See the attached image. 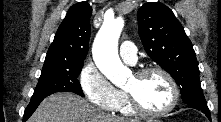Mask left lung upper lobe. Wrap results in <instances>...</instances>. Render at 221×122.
Listing matches in <instances>:
<instances>
[{
    "mask_svg": "<svg viewBox=\"0 0 221 122\" xmlns=\"http://www.w3.org/2000/svg\"><path fill=\"white\" fill-rule=\"evenodd\" d=\"M139 35L152 60L180 86L183 101L206 103L193 46L174 13L161 3H145L137 13Z\"/></svg>",
    "mask_w": 221,
    "mask_h": 122,
    "instance_id": "5c2ea615",
    "label": "left lung upper lobe"
}]
</instances>
